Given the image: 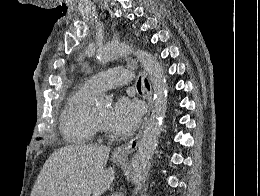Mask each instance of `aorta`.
<instances>
[{
    "mask_svg": "<svg viewBox=\"0 0 260 196\" xmlns=\"http://www.w3.org/2000/svg\"><path fill=\"white\" fill-rule=\"evenodd\" d=\"M130 52H133L138 57L141 65L148 73L154 91L151 115L144 128L138 150L131 160V178L135 184L134 193L136 194L146 181L151 167L152 156L158 144L162 122L166 113L168 91L161 64L147 51L138 50L134 52L132 47L126 43L114 42L98 50L97 60L100 64L105 65L118 56ZM103 102L107 103L108 99L105 98Z\"/></svg>",
    "mask_w": 260,
    "mask_h": 196,
    "instance_id": "762f6f07",
    "label": "aorta"
}]
</instances>
